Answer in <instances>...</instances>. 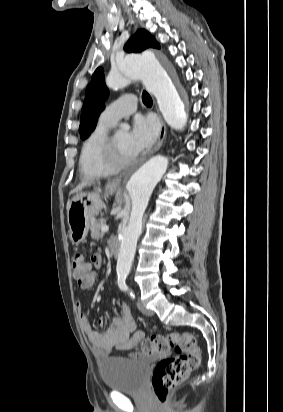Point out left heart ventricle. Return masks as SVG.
Returning a JSON list of instances; mask_svg holds the SVG:
<instances>
[{"instance_id":"b2bd125f","label":"left heart ventricle","mask_w":283,"mask_h":412,"mask_svg":"<svg viewBox=\"0 0 283 412\" xmlns=\"http://www.w3.org/2000/svg\"><path fill=\"white\" fill-rule=\"evenodd\" d=\"M116 141L119 149V154L122 159H129L136 155L130 145L129 133L126 131L116 133Z\"/></svg>"}]
</instances>
